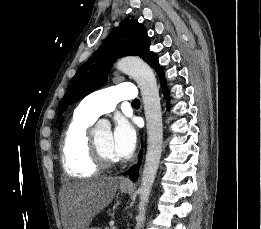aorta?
<instances>
[{"mask_svg": "<svg viewBox=\"0 0 261 229\" xmlns=\"http://www.w3.org/2000/svg\"><path fill=\"white\" fill-rule=\"evenodd\" d=\"M116 68L132 76L140 86L147 127V151L143 167L141 187L137 193L140 195L139 215L136 217L135 229H141L145 221L146 205L149 203L150 193L157 175L163 147V123L160 104L159 88L155 74L142 58L137 56H124L116 62ZM95 139L103 135H111V125L106 119H100L95 129Z\"/></svg>", "mask_w": 261, "mask_h": 229, "instance_id": "obj_1", "label": "aorta"}]
</instances>
